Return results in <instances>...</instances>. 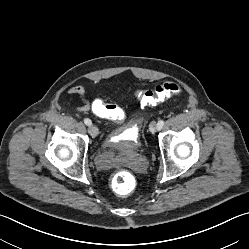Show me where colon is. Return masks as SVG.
Instances as JSON below:
<instances>
[{
    "instance_id": "colon-1",
    "label": "colon",
    "mask_w": 249,
    "mask_h": 249,
    "mask_svg": "<svg viewBox=\"0 0 249 249\" xmlns=\"http://www.w3.org/2000/svg\"><path fill=\"white\" fill-rule=\"evenodd\" d=\"M182 91L181 86L174 81H166L157 85L152 90H139L136 97L144 106H154L167 98L178 95ZM112 116V115H111ZM134 176L127 169H121L115 173L111 180L113 191L121 196L128 195L134 188Z\"/></svg>"
}]
</instances>
